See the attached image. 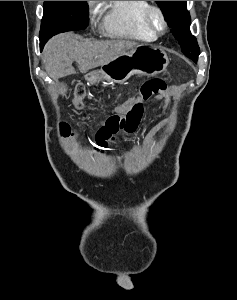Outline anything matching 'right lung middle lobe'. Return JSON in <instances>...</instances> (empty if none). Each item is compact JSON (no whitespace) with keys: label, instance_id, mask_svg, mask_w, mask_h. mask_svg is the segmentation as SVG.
<instances>
[{"label":"right lung middle lobe","instance_id":"right-lung-middle-lobe-1","mask_svg":"<svg viewBox=\"0 0 237 300\" xmlns=\"http://www.w3.org/2000/svg\"><path fill=\"white\" fill-rule=\"evenodd\" d=\"M41 21V49L49 38L60 32L83 30L89 23L86 1H45Z\"/></svg>","mask_w":237,"mask_h":300}]
</instances>
